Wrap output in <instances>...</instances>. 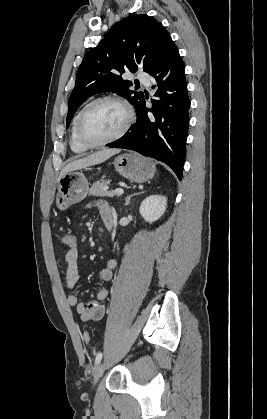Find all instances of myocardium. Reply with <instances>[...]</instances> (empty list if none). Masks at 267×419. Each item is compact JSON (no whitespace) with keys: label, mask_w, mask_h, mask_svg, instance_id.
I'll list each match as a JSON object with an SVG mask.
<instances>
[{"label":"myocardium","mask_w":267,"mask_h":419,"mask_svg":"<svg viewBox=\"0 0 267 419\" xmlns=\"http://www.w3.org/2000/svg\"><path fill=\"white\" fill-rule=\"evenodd\" d=\"M104 101H111V102H115L121 105L124 108L125 113H126L125 122L123 126L120 128V130L113 136L99 142H90L83 137L82 132H81V124H82L84 114L92 105L99 102H104ZM133 121H134V110L131 104L126 99L117 95H103V96H100L91 100L79 111L77 120H76V125H75V135L79 143L82 144L84 147L88 149L97 148V147H101L109 143H112L114 141H117L118 139L123 137L126 134V132L129 130V128L131 127Z\"/></svg>","instance_id":"f54148a6"}]
</instances>
